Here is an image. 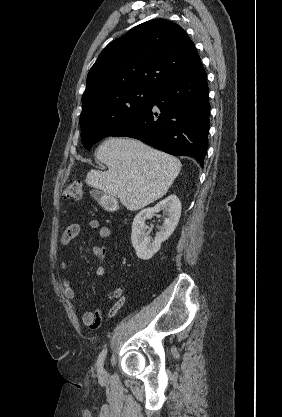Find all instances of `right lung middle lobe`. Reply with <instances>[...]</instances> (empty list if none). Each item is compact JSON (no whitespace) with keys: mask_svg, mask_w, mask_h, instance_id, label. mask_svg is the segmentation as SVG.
I'll return each instance as SVG.
<instances>
[{"mask_svg":"<svg viewBox=\"0 0 282 417\" xmlns=\"http://www.w3.org/2000/svg\"><path fill=\"white\" fill-rule=\"evenodd\" d=\"M155 90L128 88L109 91L82 101L81 139L88 150L120 129L151 100Z\"/></svg>","mask_w":282,"mask_h":417,"instance_id":"dd1d6c3e","label":"right lung middle lobe"}]
</instances>
